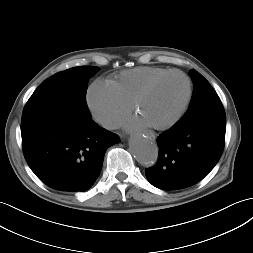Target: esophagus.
Wrapping results in <instances>:
<instances>
[{
  "label": "esophagus",
  "mask_w": 253,
  "mask_h": 253,
  "mask_svg": "<svg viewBox=\"0 0 253 253\" xmlns=\"http://www.w3.org/2000/svg\"><path fill=\"white\" fill-rule=\"evenodd\" d=\"M147 137L152 139V140H155V136L150 134V133H146Z\"/></svg>",
  "instance_id": "1"
}]
</instances>
